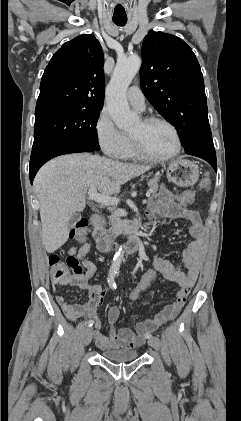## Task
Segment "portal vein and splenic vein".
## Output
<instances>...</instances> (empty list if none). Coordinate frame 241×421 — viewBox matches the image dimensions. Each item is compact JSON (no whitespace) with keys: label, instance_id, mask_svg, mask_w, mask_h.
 <instances>
[{"label":"portal vein and splenic vein","instance_id":"1","mask_svg":"<svg viewBox=\"0 0 241 421\" xmlns=\"http://www.w3.org/2000/svg\"><path fill=\"white\" fill-rule=\"evenodd\" d=\"M88 196L90 200H93L105 206H115L119 203L118 198L99 194L96 188H90L88 191ZM146 196H150V192H147Z\"/></svg>","mask_w":241,"mask_h":421}]
</instances>
